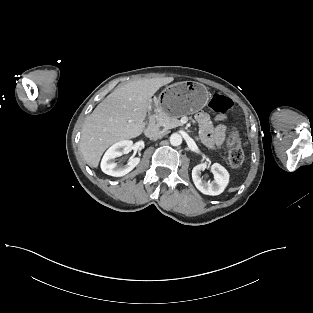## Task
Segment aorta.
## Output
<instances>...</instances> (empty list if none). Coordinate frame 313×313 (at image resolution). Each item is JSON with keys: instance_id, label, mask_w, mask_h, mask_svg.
<instances>
[{"instance_id": "762f6f07", "label": "aorta", "mask_w": 313, "mask_h": 313, "mask_svg": "<svg viewBox=\"0 0 313 313\" xmlns=\"http://www.w3.org/2000/svg\"><path fill=\"white\" fill-rule=\"evenodd\" d=\"M170 143L173 146H179L182 143V136L178 133L171 134Z\"/></svg>"}]
</instances>
